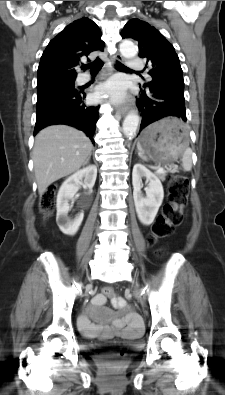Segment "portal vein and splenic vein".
<instances>
[{
    "mask_svg": "<svg viewBox=\"0 0 225 395\" xmlns=\"http://www.w3.org/2000/svg\"><path fill=\"white\" fill-rule=\"evenodd\" d=\"M164 171V168H162V167H160V166H158L157 168H156V172L157 173H161V172H163Z\"/></svg>",
    "mask_w": 225,
    "mask_h": 395,
    "instance_id": "obj_1",
    "label": "portal vein and splenic vein"
}]
</instances>
